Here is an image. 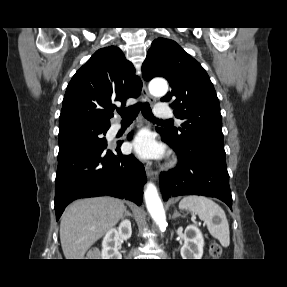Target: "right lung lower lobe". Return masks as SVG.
Returning <instances> with one entry per match:
<instances>
[{"label": "right lung lower lobe", "mask_w": 287, "mask_h": 287, "mask_svg": "<svg viewBox=\"0 0 287 287\" xmlns=\"http://www.w3.org/2000/svg\"><path fill=\"white\" fill-rule=\"evenodd\" d=\"M131 138V134L129 135ZM121 143H73L59 149L55 180V212L58 221L65 207L79 198L110 195L141 205L146 173L133 155H123Z\"/></svg>", "instance_id": "98d812e1"}]
</instances>
